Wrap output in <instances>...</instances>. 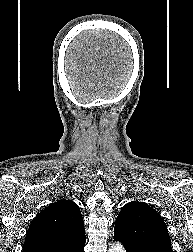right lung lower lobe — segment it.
<instances>
[{
    "label": "right lung lower lobe",
    "mask_w": 193,
    "mask_h": 252,
    "mask_svg": "<svg viewBox=\"0 0 193 252\" xmlns=\"http://www.w3.org/2000/svg\"><path fill=\"white\" fill-rule=\"evenodd\" d=\"M85 241H86V238L78 241L74 245H72V246H70L60 252H84Z\"/></svg>",
    "instance_id": "1"
}]
</instances>
